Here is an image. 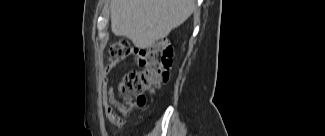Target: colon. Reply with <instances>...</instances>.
<instances>
[{"label": "colon", "mask_w": 325, "mask_h": 136, "mask_svg": "<svg viewBox=\"0 0 325 136\" xmlns=\"http://www.w3.org/2000/svg\"><path fill=\"white\" fill-rule=\"evenodd\" d=\"M129 49L125 40L115 42L109 50L111 61L123 59ZM147 61L145 68L129 83L127 92L133 95L137 105L146 103V95L155 91L169 78L172 65L173 50L166 40H160L149 46L146 50Z\"/></svg>", "instance_id": "1"}]
</instances>
